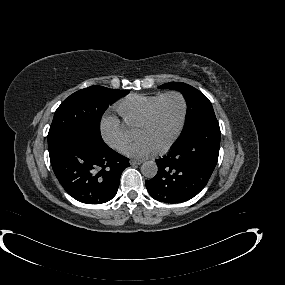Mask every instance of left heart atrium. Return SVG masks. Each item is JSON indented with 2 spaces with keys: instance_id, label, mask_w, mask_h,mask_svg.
Listing matches in <instances>:
<instances>
[{
  "instance_id": "obj_1",
  "label": "left heart atrium",
  "mask_w": 285,
  "mask_h": 285,
  "mask_svg": "<svg viewBox=\"0 0 285 285\" xmlns=\"http://www.w3.org/2000/svg\"><path fill=\"white\" fill-rule=\"evenodd\" d=\"M155 150V146L145 138H138L124 148V153L133 158H144Z\"/></svg>"
}]
</instances>
